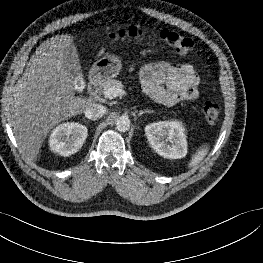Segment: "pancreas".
<instances>
[{"instance_id":"obj_1","label":"pancreas","mask_w":263,"mask_h":263,"mask_svg":"<svg viewBox=\"0 0 263 263\" xmlns=\"http://www.w3.org/2000/svg\"><path fill=\"white\" fill-rule=\"evenodd\" d=\"M120 88L122 89L124 86L122 84L121 81L119 80H115V79H109V80H106L103 85H102V88L100 90V93L101 94H104V92L109 89V88Z\"/></svg>"}]
</instances>
